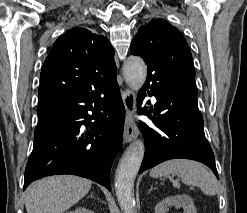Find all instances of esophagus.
<instances>
[{
    "mask_svg": "<svg viewBox=\"0 0 247 213\" xmlns=\"http://www.w3.org/2000/svg\"><path fill=\"white\" fill-rule=\"evenodd\" d=\"M122 100L125 106L124 142L134 140L138 135V127L135 121L136 97L130 89L121 91Z\"/></svg>",
    "mask_w": 247,
    "mask_h": 213,
    "instance_id": "esophagus-1",
    "label": "esophagus"
}]
</instances>
